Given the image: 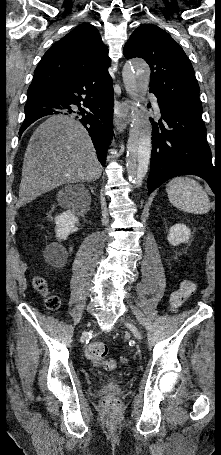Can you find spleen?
Masks as SVG:
<instances>
[{"mask_svg": "<svg viewBox=\"0 0 221 455\" xmlns=\"http://www.w3.org/2000/svg\"><path fill=\"white\" fill-rule=\"evenodd\" d=\"M168 199L176 208L189 213L205 214L210 200L202 186L189 177H175L166 186Z\"/></svg>", "mask_w": 221, "mask_h": 455, "instance_id": "1", "label": "spleen"}]
</instances>
